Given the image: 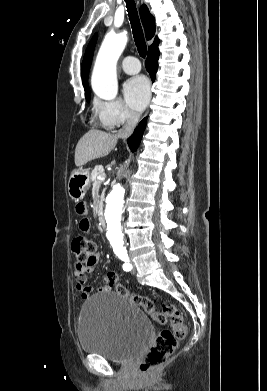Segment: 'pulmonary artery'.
I'll list each match as a JSON object with an SVG mask.
<instances>
[{
  "label": "pulmonary artery",
  "mask_w": 267,
  "mask_h": 391,
  "mask_svg": "<svg viewBox=\"0 0 267 391\" xmlns=\"http://www.w3.org/2000/svg\"><path fill=\"white\" fill-rule=\"evenodd\" d=\"M121 67L123 71L127 74H137L140 69V62L136 57L127 56L121 62Z\"/></svg>",
  "instance_id": "pulmonary-artery-1"
}]
</instances>
